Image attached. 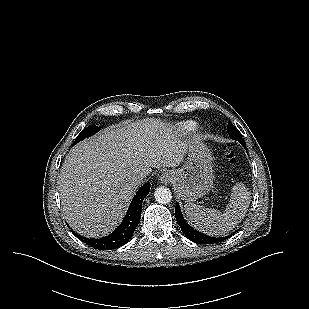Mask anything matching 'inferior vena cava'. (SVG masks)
Masks as SVG:
<instances>
[{
	"mask_svg": "<svg viewBox=\"0 0 309 309\" xmlns=\"http://www.w3.org/2000/svg\"><path fill=\"white\" fill-rule=\"evenodd\" d=\"M146 178V173L140 172L138 174L133 175L132 180L136 185H140L141 183L144 182Z\"/></svg>",
	"mask_w": 309,
	"mask_h": 309,
	"instance_id": "inferior-vena-cava-1",
	"label": "inferior vena cava"
}]
</instances>
